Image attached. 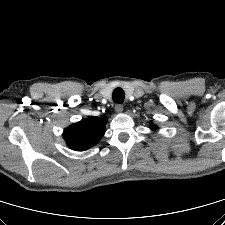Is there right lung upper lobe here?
Masks as SVG:
<instances>
[{"mask_svg": "<svg viewBox=\"0 0 225 225\" xmlns=\"http://www.w3.org/2000/svg\"><path fill=\"white\" fill-rule=\"evenodd\" d=\"M106 117H89L70 125L64 130L67 145L76 151H83L96 145L104 135Z\"/></svg>", "mask_w": 225, "mask_h": 225, "instance_id": "obj_1", "label": "right lung upper lobe"}]
</instances>
